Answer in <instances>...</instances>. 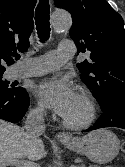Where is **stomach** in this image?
<instances>
[{"label":"stomach","instance_id":"stomach-1","mask_svg":"<svg viewBox=\"0 0 125 167\" xmlns=\"http://www.w3.org/2000/svg\"><path fill=\"white\" fill-rule=\"evenodd\" d=\"M71 150L85 155L91 161L99 164L113 160L120 149L118 137L107 129L93 131L73 142H64Z\"/></svg>","mask_w":125,"mask_h":167}]
</instances>
